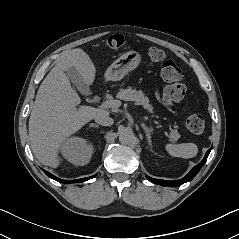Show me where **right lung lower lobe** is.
Wrapping results in <instances>:
<instances>
[{
    "label": "right lung lower lobe",
    "instance_id": "obj_1",
    "mask_svg": "<svg viewBox=\"0 0 239 239\" xmlns=\"http://www.w3.org/2000/svg\"><path fill=\"white\" fill-rule=\"evenodd\" d=\"M43 171H44L45 174H46L47 176H49L50 178H52V179H54V180H56V181H58V182H62V183H81V182L87 181V180H89V179H91V178H93V177L96 176V175H94V176H91V177L81 178V179H77V180H63V179H60V178H58V177H56V176L50 174L49 172H47V171H45V170H43Z\"/></svg>",
    "mask_w": 239,
    "mask_h": 239
}]
</instances>
